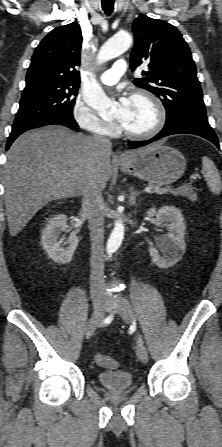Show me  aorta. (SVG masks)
<instances>
[{"label": "aorta", "instance_id": "obj_1", "mask_svg": "<svg viewBox=\"0 0 222 447\" xmlns=\"http://www.w3.org/2000/svg\"><path fill=\"white\" fill-rule=\"evenodd\" d=\"M132 44V37L126 31H120L111 37L101 48L98 54L100 63L120 56L129 49ZM85 103L99 115H103L112 110L114 104L105 95L99 85L95 82H88L83 90ZM124 238V224L117 220L107 242L106 250L108 254L114 253L121 245Z\"/></svg>", "mask_w": 222, "mask_h": 447}]
</instances>
